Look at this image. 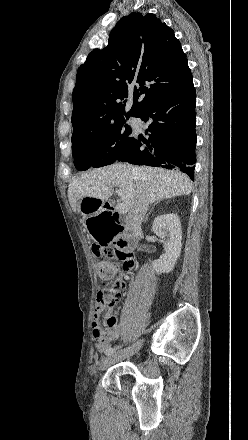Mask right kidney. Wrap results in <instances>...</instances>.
<instances>
[{"label": "right kidney", "mask_w": 248, "mask_h": 440, "mask_svg": "<svg viewBox=\"0 0 248 440\" xmlns=\"http://www.w3.org/2000/svg\"><path fill=\"white\" fill-rule=\"evenodd\" d=\"M152 231L164 243L165 253L152 263L158 274L173 270L182 248V228L177 214H163L155 218Z\"/></svg>", "instance_id": "obj_1"}]
</instances>
